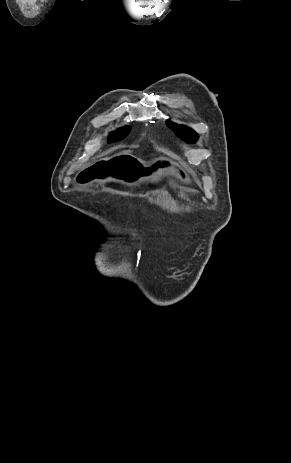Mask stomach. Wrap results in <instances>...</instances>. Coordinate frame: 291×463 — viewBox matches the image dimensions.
Returning <instances> with one entry per match:
<instances>
[{
	"instance_id": "stomach-1",
	"label": "stomach",
	"mask_w": 291,
	"mask_h": 463,
	"mask_svg": "<svg viewBox=\"0 0 291 463\" xmlns=\"http://www.w3.org/2000/svg\"><path fill=\"white\" fill-rule=\"evenodd\" d=\"M109 177L127 185L141 181H157L164 177H173L181 183L192 182L185 167L178 161L160 156L145 162L124 152L116 157H97L91 167L82 171L77 179L80 183H98L99 177Z\"/></svg>"
}]
</instances>
